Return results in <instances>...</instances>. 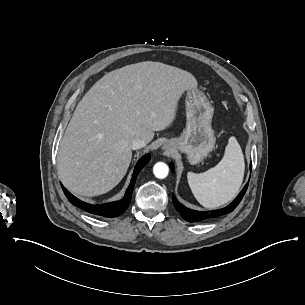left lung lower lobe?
<instances>
[{"label": "left lung lower lobe", "mask_w": 305, "mask_h": 305, "mask_svg": "<svg viewBox=\"0 0 305 305\" xmlns=\"http://www.w3.org/2000/svg\"><path fill=\"white\" fill-rule=\"evenodd\" d=\"M170 168L172 171L174 170L173 164H170ZM250 168H251V165H250ZM247 188H248V183L245 185L244 189L239 193V195L235 198V200L230 205H228L225 208L218 209V210H212V211H203L202 212V211H195V210L188 209L185 206H183L181 203H179L178 200L174 197V195L172 197V200H173L176 210L181 214V216L186 221L197 222V221H203V220L219 217L224 214L232 212L238 206L240 201L242 200Z\"/></svg>", "instance_id": "1"}]
</instances>
